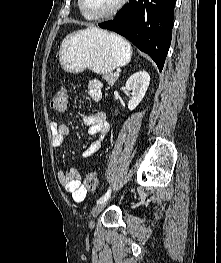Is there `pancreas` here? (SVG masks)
Returning a JSON list of instances; mask_svg holds the SVG:
<instances>
[{
	"mask_svg": "<svg viewBox=\"0 0 221 263\" xmlns=\"http://www.w3.org/2000/svg\"><path fill=\"white\" fill-rule=\"evenodd\" d=\"M103 78L108 82L110 86H113L118 77H116L113 73H108L104 75Z\"/></svg>",
	"mask_w": 221,
	"mask_h": 263,
	"instance_id": "cf45deb5",
	"label": "pancreas"
}]
</instances>
